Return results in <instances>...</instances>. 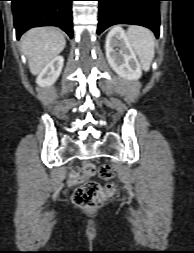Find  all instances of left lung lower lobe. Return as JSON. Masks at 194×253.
Masks as SVG:
<instances>
[{
	"instance_id": "left-lung-lower-lobe-1",
	"label": "left lung lower lobe",
	"mask_w": 194,
	"mask_h": 253,
	"mask_svg": "<svg viewBox=\"0 0 194 253\" xmlns=\"http://www.w3.org/2000/svg\"><path fill=\"white\" fill-rule=\"evenodd\" d=\"M97 34L115 24H135L151 29L159 36V1L163 0H98Z\"/></svg>"
}]
</instances>
